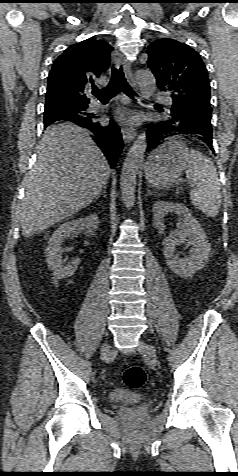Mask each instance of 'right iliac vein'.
<instances>
[{
  "mask_svg": "<svg viewBox=\"0 0 238 476\" xmlns=\"http://www.w3.org/2000/svg\"><path fill=\"white\" fill-rule=\"evenodd\" d=\"M101 352H102V355L105 356V357L110 354V346H109L108 343H105L103 345Z\"/></svg>",
  "mask_w": 238,
  "mask_h": 476,
  "instance_id": "1",
  "label": "right iliac vein"
}]
</instances>
